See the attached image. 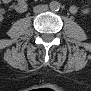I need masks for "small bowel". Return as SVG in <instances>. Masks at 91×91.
I'll use <instances>...</instances> for the list:
<instances>
[{
    "label": "small bowel",
    "instance_id": "small-bowel-1",
    "mask_svg": "<svg viewBox=\"0 0 91 91\" xmlns=\"http://www.w3.org/2000/svg\"><path fill=\"white\" fill-rule=\"evenodd\" d=\"M12 8L15 11H17V12L22 13V12L26 11V9H27V3H26L25 0H17V1H15V2L12 3ZM71 11L72 12H76L77 9L76 8H72Z\"/></svg>",
    "mask_w": 91,
    "mask_h": 91
}]
</instances>
